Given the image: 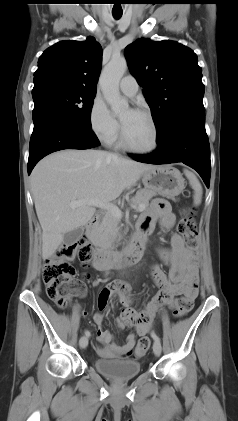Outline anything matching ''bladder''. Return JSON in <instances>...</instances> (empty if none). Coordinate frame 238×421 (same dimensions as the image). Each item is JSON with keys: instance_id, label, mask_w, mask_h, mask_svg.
<instances>
[{"instance_id": "obj_1", "label": "bladder", "mask_w": 238, "mask_h": 421, "mask_svg": "<svg viewBox=\"0 0 238 421\" xmlns=\"http://www.w3.org/2000/svg\"><path fill=\"white\" fill-rule=\"evenodd\" d=\"M94 366L101 374L118 381L136 377L142 368L139 361L120 358H98Z\"/></svg>"}]
</instances>
